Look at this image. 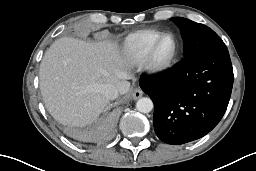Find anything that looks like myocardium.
<instances>
[{
  "mask_svg": "<svg viewBox=\"0 0 256 171\" xmlns=\"http://www.w3.org/2000/svg\"><path fill=\"white\" fill-rule=\"evenodd\" d=\"M171 38L173 41V51L168 59L158 60L156 57V51L161 42L166 39ZM179 46L176 37L171 33H162L154 42L151 44L148 54L145 59V68L148 72L154 75H160L167 72L175 63L178 56Z\"/></svg>",
  "mask_w": 256,
  "mask_h": 171,
  "instance_id": "1",
  "label": "myocardium"
}]
</instances>
